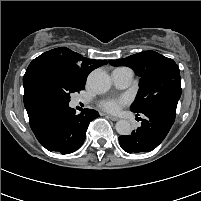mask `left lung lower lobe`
Masks as SVG:
<instances>
[{
  "label": "left lung lower lobe",
  "instance_id": "obj_1",
  "mask_svg": "<svg viewBox=\"0 0 201 201\" xmlns=\"http://www.w3.org/2000/svg\"><path fill=\"white\" fill-rule=\"evenodd\" d=\"M143 114L146 118L142 119L140 127L132 131L130 135L119 137L120 146L128 153L149 152L155 149L172 127L176 108L160 105Z\"/></svg>",
  "mask_w": 201,
  "mask_h": 201
}]
</instances>
